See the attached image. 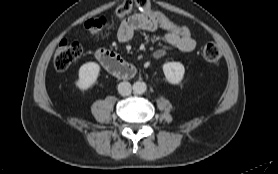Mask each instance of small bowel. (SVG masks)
<instances>
[{"label": "small bowel", "mask_w": 278, "mask_h": 174, "mask_svg": "<svg viewBox=\"0 0 278 174\" xmlns=\"http://www.w3.org/2000/svg\"><path fill=\"white\" fill-rule=\"evenodd\" d=\"M157 30L163 29L159 26L155 16L153 14L143 12L133 14L124 19L119 25L117 37L120 42L125 43L129 42L138 31L153 32ZM164 31V39L168 45L184 53L192 52L195 49L196 42L192 37L182 38L172 32L166 30ZM164 54L165 51L163 49H159L154 52L153 56L155 59H159L163 57Z\"/></svg>", "instance_id": "small-bowel-1"}]
</instances>
